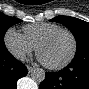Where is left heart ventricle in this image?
Masks as SVG:
<instances>
[{
	"label": "left heart ventricle",
	"mask_w": 89,
	"mask_h": 89,
	"mask_svg": "<svg viewBox=\"0 0 89 89\" xmlns=\"http://www.w3.org/2000/svg\"><path fill=\"white\" fill-rule=\"evenodd\" d=\"M72 50V40L67 33H58L40 48L39 55L45 63L59 64L66 60Z\"/></svg>",
	"instance_id": "left-heart-ventricle-1"
}]
</instances>
